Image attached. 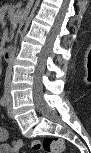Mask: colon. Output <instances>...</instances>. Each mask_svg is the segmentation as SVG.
Listing matches in <instances>:
<instances>
[{"label": "colon", "mask_w": 91, "mask_h": 153, "mask_svg": "<svg viewBox=\"0 0 91 153\" xmlns=\"http://www.w3.org/2000/svg\"><path fill=\"white\" fill-rule=\"evenodd\" d=\"M21 144L22 142L20 140H16L14 146L18 150ZM32 149L45 153H63L67 151L65 142L58 137H47L43 140H35L32 143Z\"/></svg>", "instance_id": "5ec220e1"}]
</instances>
